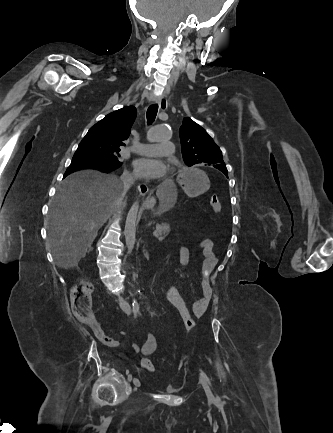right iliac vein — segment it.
I'll return each mask as SVG.
<instances>
[{
  "mask_svg": "<svg viewBox=\"0 0 333 433\" xmlns=\"http://www.w3.org/2000/svg\"><path fill=\"white\" fill-rule=\"evenodd\" d=\"M131 380H132V374H129L128 375V381L130 382ZM133 383H134V388L135 389H137L138 387H140V381L137 378H135L133 380Z\"/></svg>",
  "mask_w": 333,
  "mask_h": 433,
  "instance_id": "right-iliac-vein-1",
  "label": "right iliac vein"
}]
</instances>
